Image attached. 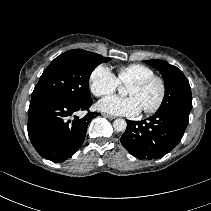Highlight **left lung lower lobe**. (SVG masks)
Here are the masks:
<instances>
[{
  "mask_svg": "<svg viewBox=\"0 0 211 211\" xmlns=\"http://www.w3.org/2000/svg\"><path fill=\"white\" fill-rule=\"evenodd\" d=\"M189 114L176 109L157 111L147 120L129 121L121 143L135 157L156 159L169 153L181 141Z\"/></svg>",
  "mask_w": 211,
  "mask_h": 211,
  "instance_id": "0a47b994",
  "label": "left lung lower lobe"
}]
</instances>
